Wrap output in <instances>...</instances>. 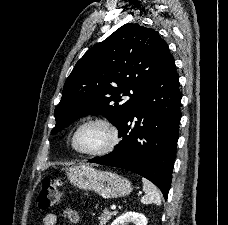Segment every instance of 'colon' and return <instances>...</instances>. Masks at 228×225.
Masks as SVG:
<instances>
[{"label":"colon","instance_id":"5ec220e1","mask_svg":"<svg viewBox=\"0 0 228 225\" xmlns=\"http://www.w3.org/2000/svg\"><path fill=\"white\" fill-rule=\"evenodd\" d=\"M61 183L56 179L48 177L43 179L42 189L37 197V204L42 209H47L50 205H54L61 198Z\"/></svg>","mask_w":228,"mask_h":225}]
</instances>
